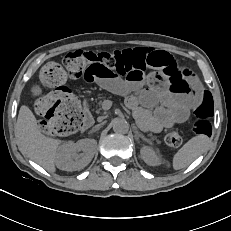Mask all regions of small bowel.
<instances>
[{
  "label": "small bowel",
  "instance_id": "1",
  "mask_svg": "<svg viewBox=\"0 0 231 231\" xmlns=\"http://www.w3.org/2000/svg\"><path fill=\"white\" fill-rule=\"evenodd\" d=\"M151 50L155 53L162 52ZM147 70L122 79L115 70L94 64L87 68L83 78L111 93L125 96L127 106L148 130L159 132L185 122L189 118L190 108L197 100L191 94L172 91L166 76L159 69L149 68L150 72H146ZM185 72L191 85L201 89L192 72L187 69Z\"/></svg>",
  "mask_w": 231,
  "mask_h": 231
}]
</instances>
